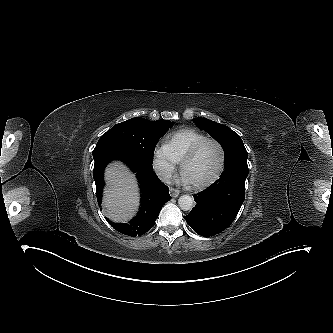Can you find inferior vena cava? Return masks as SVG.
<instances>
[{
    "instance_id": "1",
    "label": "inferior vena cava",
    "mask_w": 333,
    "mask_h": 333,
    "mask_svg": "<svg viewBox=\"0 0 333 333\" xmlns=\"http://www.w3.org/2000/svg\"><path fill=\"white\" fill-rule=\"evenodd\" d=\"M157 175L160 180L166 184H170L172 180V172L168 169L157 170Z\"/></svg>"
}]
</instances>
